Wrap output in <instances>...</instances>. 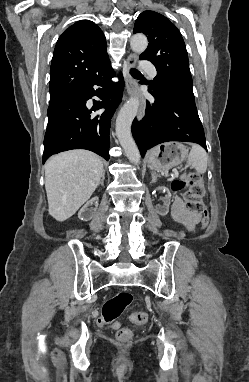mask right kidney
<instances>
[{
    "mask_svg": "<svg viewBox=\"0 0 249 382\" xmlns=\"http://www.w3.org/2000/svg\"><path fill=\"white\" fill-rule=\"evenodd\" d=\"M94 204L95 206H98V197H93L90 201H88L86 203V205H84L79 213H78V218L82 221H89L92 219V217L94 216V212L90 209H88V206L89 205H92Z\"/></svg>",
    "mask_w": 249,
    "mask_h": 382,
    "instance_id": "obj_1",
    "label": "right kidney"
}]
</instances>
